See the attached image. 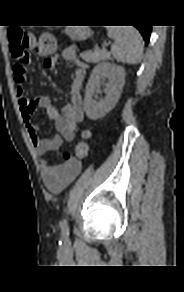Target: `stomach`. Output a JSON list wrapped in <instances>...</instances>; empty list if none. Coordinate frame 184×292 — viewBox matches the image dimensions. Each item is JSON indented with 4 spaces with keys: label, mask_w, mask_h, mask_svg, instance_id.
<instances>
[{
    "label": "stomach",
    "mask_w": 184,
    "mask_h": 292,
    "mask_svg": "<svg viewBox=\"0 0 184 292\" xmlns=\"http://www.w3.org/2000/svg\"><path fill=\"white\" fill-rule=\"evenodd\" d=\"M66 32L73 40H84L90 36V31L86 27L68 26Z\"/></svg>",
    "instance_id": "1"
}]
</instances>
